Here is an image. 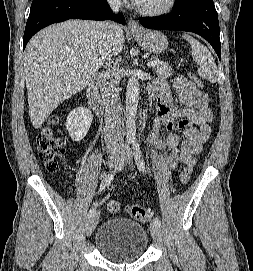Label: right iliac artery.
<instances>
[{
	"label": "right iliac artery",
	"mask_w": 253,
	"mask_h": 271,
	"mask_svg": "<svg viewBox=\"0 0 253 271\" xmlns=\"http://www.w3.org/2000/svg\"><path fill=\"white\" fill-rule=\"evenodd\" d=\"M125 154L126 153L124 152L121 155V158L118 160L117 164L115 165V169L104 177V179L102 180L100 184V191L104 190L107 186H109L115 176V173L123 168L124 162H125ZM95 212L96 211L94 208L90 209L88 213V218H90Z\"/></svg>",
	"instance_id": "82829eb1"
}]
</instances>
